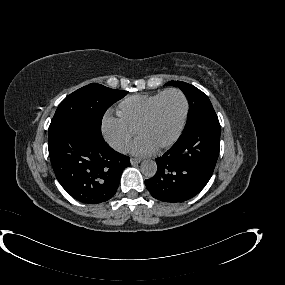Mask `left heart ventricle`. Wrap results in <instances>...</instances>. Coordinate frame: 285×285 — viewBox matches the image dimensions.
<instances>
[{
    "instance_id": "left-heart-ventricle-1",
    "label": "left heart ventricle",
    "mask_w": 285,
    "mask_h": 285,
    "mask_svg": "<svg viewBox=\"0 0 285 285\" xmlns=\"http://www.w3.org/2000/svg\"><path fill=\"white\" fill-rule=\"evenodd\" d=\"M184 113L183 98L177 93L164 97L157 111L150 121L139 133L154 147L167 143L176 133Z\"/></svg>"
}]
</instances>
